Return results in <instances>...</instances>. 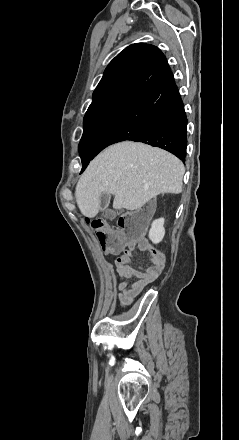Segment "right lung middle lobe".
Returning a JSON list of instances; mask_svg holds the SVG:
<instances>
[{
	"label": "right lung middle lobe",
	"mask_w": 239,
	"mask_h": 440,
	"mask_svg": "<svg viewBox=\"0 0 239 440\" xmlns=\"http://www.w3.org/2000/svg\"><path fill=\"white\" fill-rule=\"evenodd\" d=\"M133 98L117 97L89 107L84 116V132L79 143L80 155L93 151L100 137L116 121Z\"/></svg>",
	"instance_id": "1"
}]
</instances>
